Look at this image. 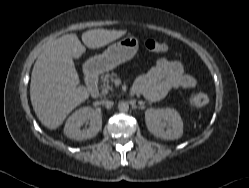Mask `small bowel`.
<instances>
[{
	"label": "small bowel",
	"instance_id": "small-bowel-1",
	"mask_svg": "<svg viewBox=\"0 0 249 188\" xmlns=\"http://www.w3.org/2000/svg\"><path fill=\"white\" fill-rule=\"evenodd\" d=\"M195 86V78L184 73L180 61L160 59L137 79L134 89L147 99L158 101L174 89H190Z\"/></svg>",
	"mask_w": 249,
	"mask_h": 188
}]
</instances>
